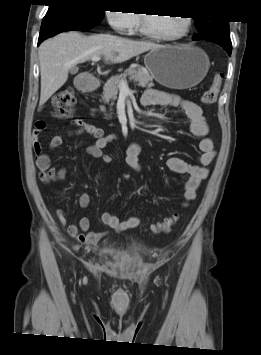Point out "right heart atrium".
I'll return each instance as SVG.
<instances>
[{
	"label": "right heart atrium",
	"instance_id": "1",
	"mask_svg": "<svg viewBox=\"0 0 261 355\" xmlns=\"http://www.w3.org/2000/svg\"><path fill=\"white\" fill-rule=\"evenodd\" d=\"M106 17L109 24L117 32L122 34L134 32L138 25L137 14L128 9L122 11H108Z\"/></svg>",
	"mask_w": 261,
	"mask_h": 355
}]
</instances>
